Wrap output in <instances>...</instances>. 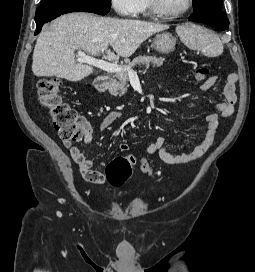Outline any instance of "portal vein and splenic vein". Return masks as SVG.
Instances as JSON below:
<instances>
[{
    "label": "portal vein and splenic vein",
    "mask_w": 255,
    "mask_h": 272,
    "mask_svg": "<svg viewBox=\"0 0 255 272\" xmlns=\"http://www.w3.org/2000/svg\"><path fill=\"white\" fill-rule=\"evenodd\" d=\"M78 53V61L82 63H87L89 65H93L95 67H98L104 71L110 72V73H117L122 71L124 68L121 65H118L117 63H110L101 59H96L94 57H91L90 55H86L81 50L77 51ZM129 75H136V72L133 70L127 69Z\"/></svg>",
    "instance_id": "18ae733b"
}]
</instances>
